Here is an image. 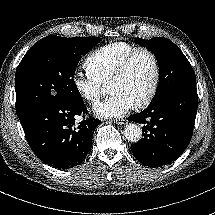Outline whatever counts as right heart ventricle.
<instances>
[{
	"mask_svg": "<svg viewBox=\"0 0 215 215\" xmlns=\"http://www.w3.org/2000/svg\"><path fill=\"white\" fill-rule=\"evenodd\" d=\"M136 46L126 41H116L102 45L91 52L84 60L88 74L100 82L107 81L120 59Z\"/></svg>",
	"mask_w": 215,
	"mask_h": 215,
	"instance_id": "e07e8e85",
	"label": "right heart ventricle"
}]
</instances>
